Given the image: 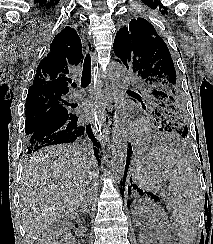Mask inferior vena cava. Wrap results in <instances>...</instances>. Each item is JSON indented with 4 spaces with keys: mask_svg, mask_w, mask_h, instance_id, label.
I'll list each match as a JSON object with an SVG mask.
<instances>
[{
    "mask_svg": "<svg viewBox=\"0 0 213 244\" xmlns=\"http://www.w3.org/2000/svg\"><path fill=\"white\" fill-rule=\"evenodd\" d=\"M86 141L88 140L87 138L85 139ZM86 151L88 152V153H90L87 149H86ZM94 173L96 172L95 170L93 171ZM92 174V180L94 179L93 177H94V175L95 174ZM93 187L95 186L94 184L92 185ZM92 201H93V194H92V187L91 186H88L87 187V191H86V193H85V198H84V201H83V205H84V208L85 209H87V207H90V205L92 204Z\"/></svg>",
    "mask_w": 213,
    "mask_h": 244,
    "instance_id": "1",
    "label": "inferior vena cava"
}]
</instances>
